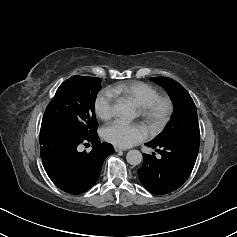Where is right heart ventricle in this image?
Returning <instances> with one entry per match:
<instances>
[{
	"label": "right heart ventricle",
	"instance_id": "right-heart-ventricle-1",
	"mask_svg": "<svg viewBox=\"0 0 237 237\" xmlns=\"http://www.w3.org/2000/svg\"><path fill=\"white\" fill-rule=\"evenodd\" d=\"M115 95H122L132 100L138 107L159 95L156 88L142 81H127L118 83L110 88Z\"/></svg>",
	"mask_w": 237,
	"mask_h": 237
}]
</instances>
